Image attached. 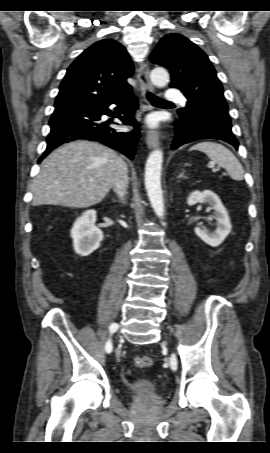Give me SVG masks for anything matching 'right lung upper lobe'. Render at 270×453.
Segmentation results:
<instances>
[{
    "label": "right lung upper lobe",
    "mask_w": 270,
    "mask_h": 453,
    "mask_svg": "<svg viewBox=\"0 0 270 453\" xmlns=\"http://www.w3.org/2000/svg\"><path fill=\"white\" fill-rule=\"evenodd\" d=\"M134 72L126 49L112 39L94 43L70 65L55 108L107 101L131 88Z\"/></svg>",
    "instance_id": "1"
}]
</instances>
